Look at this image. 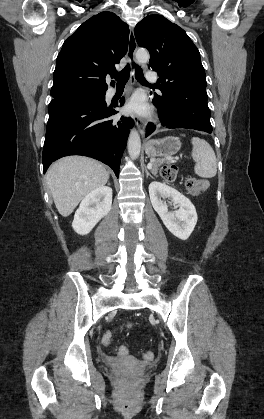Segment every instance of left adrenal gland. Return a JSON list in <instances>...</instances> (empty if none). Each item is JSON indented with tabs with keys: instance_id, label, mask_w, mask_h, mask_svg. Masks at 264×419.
Returning a JSON list of instances; mask_svg holds the SVG:
<instances>
[{
	"instance_id": "obj_1",
	"label": "left adrenal gland",
	"mask_w": 264,
	"mask_h": 419,
	"mask_svg": "<svg viewBox=\"0 0 264 419\" xmlns=\"http://www.w3.org/2000/svg\"><path fill=\"white\" fill-rule=\"evenodd\" d=\"M146 176H150L151 178H153V176L149 173V171L146 169Z\"/></svg>"
}]
</instances>
